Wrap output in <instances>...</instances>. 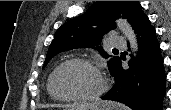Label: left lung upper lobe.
<instances>
[{
  "mask_svg": "<svg viewBox=\"0 0 171 110\" xmlns=\"http://www.w3.org/2000/svg\"><path fill=\"white\" fill-rule=\"evenodd\" d=\"M120 17L128 19L136 32L146 15L137 1H97L83 15L69 20L56 31L43 68L60 52L99 45L102 36L115 28L114 20ZM96 49L102 51L100 46ZM101 55L110 57L106 52ZM119 63L117 56L108 61L112 75Z\"/></svg>",
  "mask_w": 171,
  "mask_h": 110,
  "instance_id": "5c2ea615",
  "label": "left lung upper lobe"
}]
</instances>
